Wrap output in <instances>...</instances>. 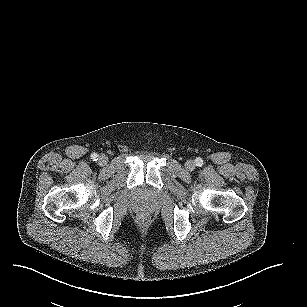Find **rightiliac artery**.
Returning a JSON list of instances; mask_svg holds the SVG:
<instances>
[{
	"label": "right iliac artery",
	"instance_id": "82829eb1",
	"mask_svg": "<svg viewBox=\"0 0 307 307\" xmlns=\"http://www.w3.org/2000/svg\"><path fill=\"white\" fill-rule=\"evenodd\" d=\"M91 159H92L93 161H97V160H98V155H97L96 153H93V154L91 155Z\"/></svg>",
	"mask_w": 307,
	"mask_h": 307
}]
</instances>
